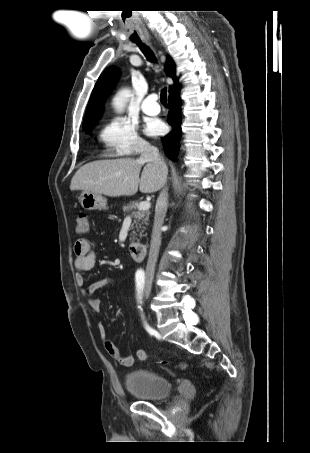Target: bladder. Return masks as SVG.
<instances>
[{"label": "bladder", "mask_w": 310, "mask_h": 453, "mask_svg": "<svg viewBox=\"0 0 310 453\" xmlns=\"http://www.w3.org/2000/svg\"><path fill=\"white\" fill-rule=\"evenodd\" d=\"M126 389L139 400L159 401L170 396L172 387L169 380L152 370L141 369L126 376Z\"/></svg>", "instance_id": "31cf9c89"}]
</instances>
